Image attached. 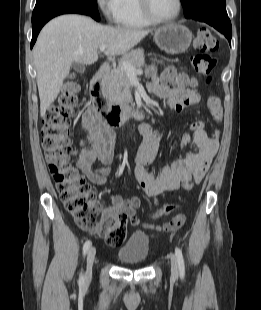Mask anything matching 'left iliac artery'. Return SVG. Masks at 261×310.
I'll return each mask as SVG.
<instances>
[{"mask_svg": "<svg viewBox=\"0 0 261 310\" xmlns=\"http://www.w3.org/2000/svg\"><path fill=\"white\" fill-rule=\"evenodd\" d=\"M175 254L177 257V261H178L180 277L183 279L185 275V264H184L183 254H182V251L178 247L175 248Z\"/></svg>", "mask_w": 261, "mask_h": 310, "instance_id": "left-iliac-artery-1", "label": "left iliac artery"}]
</instances>
